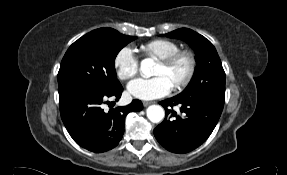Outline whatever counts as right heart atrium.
<instances>
[{"instance_id": "obj_1", "label": "right heart atrium", "mask_w": 287, "mask_h": 175, "mask_svg": "<svg viewBox=\"0 0 287 175\" xmlns=\"http://www.w3.org/2000/svg\"><path fill=\"white\" fill-rule=\"evenodd\" d=\"M113 64L121 80H130L134 78L139 71V60L134 50L129 46L122 47L117 52Z\"/></svg>"}]
</instances>
